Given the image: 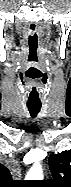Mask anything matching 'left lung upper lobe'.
<instances>
[{
	"label": "left lung upper lobe",
	"instance_id": "5c2ea615",
	"mask_svg": "<svg viewBox=\"0 0 71 187\" xmlns=\"http://www.w3.org/2000/svg\"><path fill=\"white\" fill-rule=\"evenodd\" d=\"M49 166L54 180L44 183L53 187H71V150L49 157Z\"/></svg>",
	"mask_w": 71,
	"mask_h": 187
}]
</instances>
